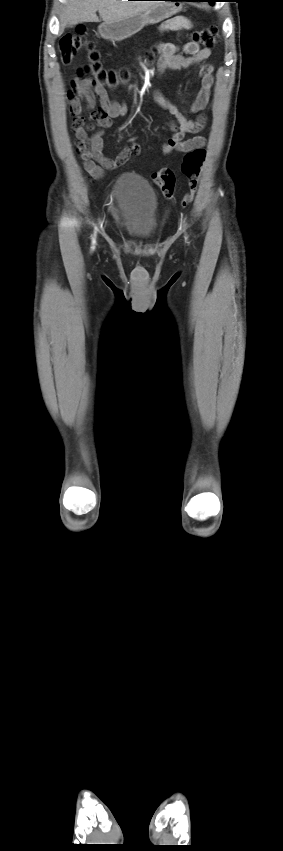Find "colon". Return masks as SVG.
<instances>
[{
	"mask_svg": "<svg viewBox=\"0 0 283 851\" xmlns=\"http://www.w3.org/2000/svg\"><path fill=\"white\" fill-rule=\"evenodd\" d=\"M190 38L192 42L201 44L206 48H212L219 41L218 28L211 26L196 30L191 33ZM59 48L61 59L66 64L70 63L76 54L85 48L87 50L88 63L84 68V72L102 86L116 87L129 78V71H123L117 74L102 68L100 54L95 49L94 44L87 40L83 30L63 36ZM152 57L153 55H149V60H152ZM204 159L205 150L201 148L189 151L184 156L181 171L188 180L189 192L181 201L183 207L189 205L194 198ZM152 178L155 184L162 190L164 196L168 199L172 198L176 181L174 172L171 169L163 168L155 172Z\"/></svg>",
	"mask_w": 283,
	"mask_h": 851,
	"instance_id": "5ec220e1",
	"label": "colon"
}]
</instances>
